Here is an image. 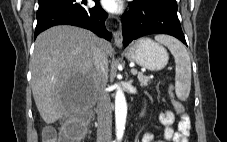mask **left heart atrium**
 <instances>
[{
	"label": "left heart atrium",
	"instance_id": "obj_1",
	"mask_svg": "<svg viewBox=\"0 0 227 142\" xmlns=\"http://www.w3.org/2000/svg\"><path fill=\"white\" fill-rule=\"evenodd\" d=\"M102 6L109 12H117L121 5V0H101Z\"/></svg>",
	"mask_w": 227,
	"mask_h": 142
}]
</instances>
